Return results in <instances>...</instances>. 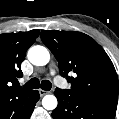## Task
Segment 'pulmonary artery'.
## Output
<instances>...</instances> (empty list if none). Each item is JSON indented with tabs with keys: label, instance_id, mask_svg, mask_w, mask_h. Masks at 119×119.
I'll list each match as a JSON object with an SVG mask.
<instances>
[{
	"label": "pulmonary artery",
	"instance_id": "pulmonary-artery-1",
	"mask_svg": "<svg viewBox=\"0 0 119 119\" xmlns=\"http://www.w3.org/2000/svg\"><path fill=\"white\" fill-rule=\"evenodd\" d=\"M50 73H51L52 75H54V74H55V71L52 69V70L50 71Z\"/></svg>",
	"mask_w": 119,
	"mask_h": 119
}]
</instances>
